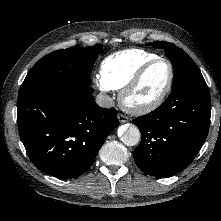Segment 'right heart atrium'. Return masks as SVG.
Instances as JSON below:
<instances>
[{
	"label": "right heart atrium",
	"instance_id": "obj_1",
	"mask_svg": "<svg viewBox=\"0 0 221 221\" xmlns=\"http://www.w3.org/2000/svg\"><path fill=\"white\" fill-rule=\"evenodd\" d=\"M94 82L96 84V86L101 90V91H109L110 88L105 84V82L103 81V79L101 78V76H95L94 77Z\"/></svg>",
	"mask_w": 221,
	"mask_h": 221
}]
</instances>
